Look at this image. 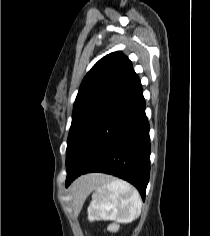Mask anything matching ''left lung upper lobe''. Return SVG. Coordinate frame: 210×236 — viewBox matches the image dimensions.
Listing matches in <instances>:
<instances>
[{
	"label": "left lung upper lobe",
	"mask_w": 210,
	"mask_h": 236,
	"mask_svg": "<svg viewBox=\"0 0 210 236\" xmlns=\"http://www.w3.org/2000/svg\"><path fill=\"white\" fill-rule=\"evenodd\" d=\"M138 78L121 52L99 60L87 73L77 94L67 140L66 157L81 132Z\"/></svg>",
	"instance_id": "5c2ea615"
}]
</instances>
